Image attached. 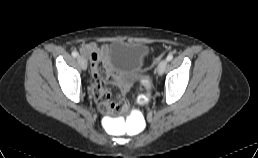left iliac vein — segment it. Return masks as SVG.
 <instances>
[{
	"instance_id": "4c4485c4",
	"label": "left iliac vein",
	"mask_w": 258,
	"mask_h": 158,
	"mask_svg": "<svg viewBox=\"0 0 258 158\" xmlns=\"http://www.w3.org/2000/svg\"><path fill=\"white\" fill-rule=\"evenodd\" d=\"M167 63L168 61L166 59L162 60L159 65H158V68H157V72L159 75H162L166 69V66H167Z\"/></svg>"
}]
</instances>
